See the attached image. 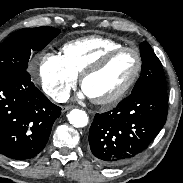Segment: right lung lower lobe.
<instances>
[{
  "instance_id": "right-lung-lower-lobe-1",
  "label": "right lung lower lobe",
  "mask_w": 183,
  "mask_h": 183,
  "mask_svg": "<svg viewBox=\"0 0 183 183\" xmlns=\"http://www.w3.org/2000/svg\"><path fill=\"white\" fill-rule=\"evenodd\" d=\"M61 108L35 87L27 70L0 74V153L17 160L41 152Z\"/></svg>"
}]
</instances>
